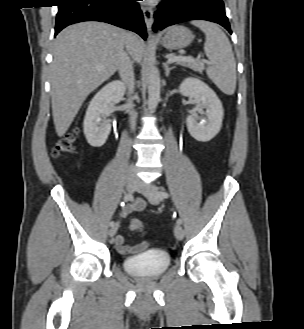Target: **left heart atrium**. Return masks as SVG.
Returning a JSON list of instances; mask_svg holds the SVG:
<instances>
[{
	"label": "left heart atrium",
	"instance_id": "obj_1",
	"mask_svg": "<svg viewBox=\"0 0 304 329\" xmlns=\"http://www.w3.org/2000/svg\"><path fill=\"white\" fill-rule=\"evenodd\" d=\"M144 1H146V2H151L152 0H144Z\"/></svg>",
	"mask_w": 304,
	"mask_h": 329
}]
</instances>
